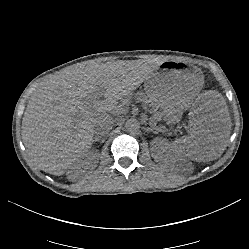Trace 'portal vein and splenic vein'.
<instances>
[{"label":"portal vein and splenic vein","instance_id":"portal-vein-and-splenic-vein-1","mask_svg":"<svg viewBox=\"0 0 249 249\" xmlns=\"http://www.w3.org/2000/svg\"><path fill=\"white\" fill-rule=\"evenodd\" d=\"M101 96L100 92H97L96 95H94L93 100H98V98Z\"/></svg>","mask_w":249,"mask_h":249}]
</instances>
